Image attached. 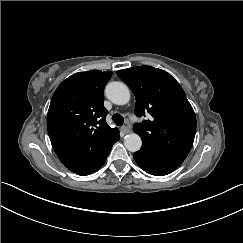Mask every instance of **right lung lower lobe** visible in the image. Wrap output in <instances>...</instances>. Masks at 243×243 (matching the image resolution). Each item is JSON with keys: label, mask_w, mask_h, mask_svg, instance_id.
<instances>
[{"label": "right lung lower lobe", "mask_w": 243, "mask_h": 243, "mask_svg": "<svg viewBox=\"0 0 243 243\" xmlns=\"http://www.w3.org/2000/svg\"><path fill=\"white\" fill-rule=\"evenodd\" d=\"M109 152L106 153L102 158H100L92 167H90L89 169H87L83 172L77 173V174L84 176V175H89V174L96 172L104 164L107 156L109 155Z\"/></svg>", "instance_id": "1"}]
</instances>
